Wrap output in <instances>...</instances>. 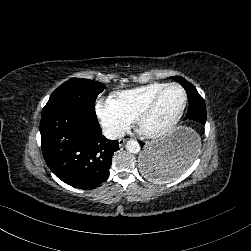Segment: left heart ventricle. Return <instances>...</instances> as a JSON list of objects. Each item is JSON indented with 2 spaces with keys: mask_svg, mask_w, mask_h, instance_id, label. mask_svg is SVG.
Masks as SVG:
<instances>
[{
  "mask_svg": "<svg viewBox=\"0 0 251 251\" xmlns=\"http://www.w3.org/2000/svg\"><path fill=\"white\" fill-rule=\"evenodd\" d=\"M184 102L185 94L182 90L169 88L164 92L153 111L143 117V127L152 133L172 124L179 117Z\"/></svg>",
  "mask_w": 251,
  "mask_h": 251,
  "instance_id": "left-heart-ventricle-1",
  "label": "left heart ventricle"
}]
</instances>
